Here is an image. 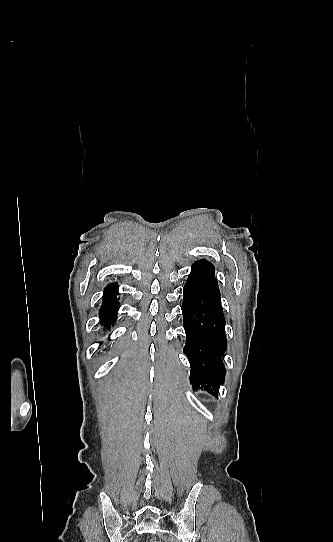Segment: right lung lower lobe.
Here are the masks:
<instances>
[{"instance_id":"obj_1","label":"right lung lower lobe","mask_w":333,"mask_h":542,"mask_svg":"<svg viewBox=\"0 0 333 542\" xmlns=\"http://www.w3.org/2000/svg\"><path fill=\"white\" fill-rule=\"evenodd\" d=\"M118 294V286L115 284L108 285L104 290L103 305L99 310V315L101 323L107 328L114 325L117 319L116 316L119 309Z\"/></svg>"}]
</instances>
